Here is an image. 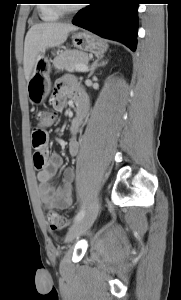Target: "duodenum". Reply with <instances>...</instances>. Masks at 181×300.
<instances>
[{"instance_id": "duodenum-1", "label": "duodenum", "mask_w": 181, "mask_h": 300, "mask_svg": "<svg viewBox=\"0 0 181 300\" xmlns=\"http://www.w3.org/2000/svg\"><path fill=\"white\" fill-rule=\"evenodd\" d=\"M77 112H78V113L81 112V107H80V106L77 107Z\"/></svg>"}]
</instances>
